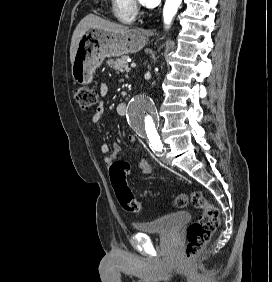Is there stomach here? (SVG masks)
I'll list each match as a JSON object with an SVG mask.
<instances>
[{
	"mask_svg": "<svg viewBox=\"0 0 272 282\" xmlns=\"http://www.w3.org/2000/svg\"><path fill=\"white\" fill-rule=\"evenodd\" d=\"M148 41V31L129 29L124 32H111L102 29H89L80 38L74 61L72 77L78 84H88L95 70L106 57L121 56L141 50Z\"/></svg>",
	"mask_w": 272,
	"mask_h": 282,
	"instance_id": "1",
	"label": "stomach"
}]
</instances>
